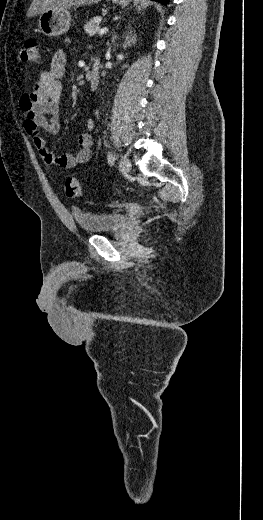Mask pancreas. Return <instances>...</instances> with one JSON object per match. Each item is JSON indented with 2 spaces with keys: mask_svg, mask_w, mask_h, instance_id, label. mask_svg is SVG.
I'll use <instances>...</instances> for the list:
<instances>
[{
  "mask_svg": "<svg viewBox=\"0 0 263 520\" xmlns=\"http://www.w3.org/2000/svg\"><path fill=\"white\" fill-rule=\"evenodd\" d=\"M101 19L100 16L93 17L84 25V30L89 36L95 35L100 30Z\"/></svg>",
  "mask_w": 263,
  "mask_h": 520,
  "instance_id": "1",
  "label": "pancreas"
}]
</instances>
